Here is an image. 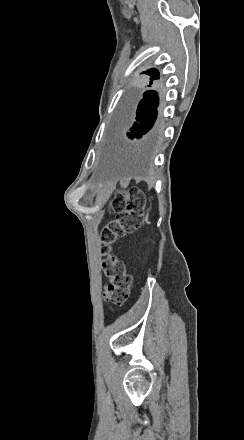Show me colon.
I'll use <instances>...</instances> for the list:
<instances>
[{
  "instance_id": "5ec220e1",
  "label": "colon",
  "mask_w": 244,
  "mask_h": 440,
  "mask_svg": "<svg viewBox=\"0 0 244 440\" xmlns=\"http://www.w3.org/2000/svg\"><path fill=\"white\" fill-rule=\"evenodd\" d=\"M110 209L115 217L101 231L102 269L108 280L103 296L105 301L115 306H122L129 298L133 279L126 272L120 258L111 253V245L119 236L140 228L144 214V199L141 190L137 187L130 188L126 195L112 202Z\"/></svg>"
}]
</instances>
